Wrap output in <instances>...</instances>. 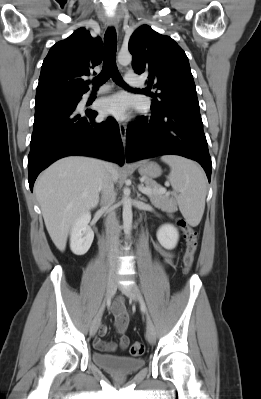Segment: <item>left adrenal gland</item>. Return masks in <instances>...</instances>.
<instances>
[{
    "label": "left adrenal gland",
    "mask_w": 261,
    "mask_h": 399,
    "mask_svg": "<svg viewBox=\"0 0 261 399\" xmlns=\"http://www.w3.org/2000/svg\"><path fill=\"white\" fill-rule=\"evenodd\" d=\"M138 196L140 197V194H138ZM142 200H144V201H146V199H144V198H141Z\"/></svg>",
    "instance_id": "1"
}]
</instances>
